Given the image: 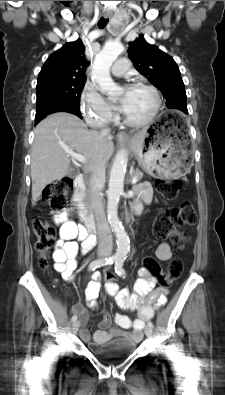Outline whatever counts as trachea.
<instances>
[{
	"instance_id": "trachea-1",
	"label": "trachea",
	"mask_w": 225,
	"mask_h": 395,
	"mask_svg": "<svg viewBox=\"0 0 225 395\" xmlns=\"http://www.w3.org/2000/svg\"><path fill=\"white\" fill-rule=\"evenodd\" d=\"M108 21L109 19H105L102 17L98 22L99 28H104L107 25Z\"/></svg>"
}]
</instances>
